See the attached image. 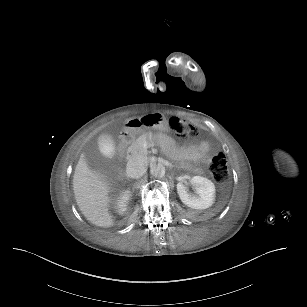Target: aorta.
<instances>
[{
	"label": "aorta",
	"instance_id": "1",
	"mask_svg": "<svg viewBox=\"0 0 307 307\" xmlns=\"http://www.w3.org/2000/svg\"><path fill=\"white\" fill-rule=\"evenodd\" d=\"M151 173L152 175H154L155 177H164L165 175V167L163 165H156L153 166L151 169Z\"/></svg>",
	"mask_w": 307,
	"mask_h": 307
}]
</instances>
